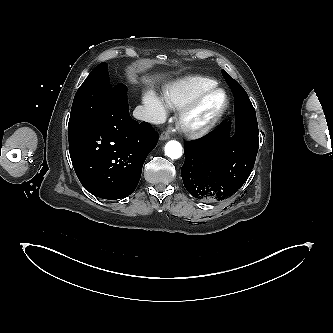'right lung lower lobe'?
Listing matches in <instances>:
<instances>
[{"mask_svg":"<svg viewBox=\"0 0 333 333\" xmlns=\"http://www.w3.org/2000/svg\"><path fill=\"white\" fill-rule=\"evenodd\" d=\"M127 88L119 84L101 111L81 130L68 135L78 179L103 199H120L136 189L142 166L157 144V132L129 115Z\"/></svg>","mask_w":333,"mask_h":333,"instance_id":"right-lung-lower-lobe-1","label":"right lung lower lobe"}]
</instances>
